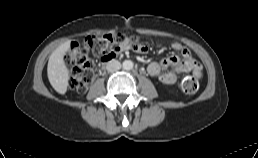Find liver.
Listing matches in <instances>:
<instances>
[{
    "instance_id": "obj_1",
    "label": "liver",
    "mask_w": 258,
    "mask_h": 158,
    "mask_svg": "<svg viewBox=\"0 0 258 158\" xmlns=\"http://www.w3.org/2000/svg\"><path fill=\"white\" fill-rule=\"evenodd\" d=\"M71 40L58 46L49 57L47 75L51 86L60 94H65L68 87L69 70L64 55L70 48Z\"/></svg>"
}]
</instances>
